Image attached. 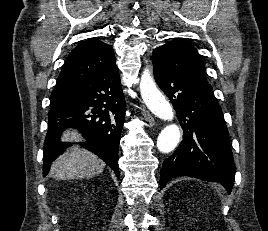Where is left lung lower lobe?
Masks as SVG:
<instances>
[{
	"label": "left lung lower lobe",
	"mask_w": 268,
	"mask_h": 231,
	"mask_svg": "<svg viewBox=\"0 0 268 231\" xmlns=\"http://www.w3.org/2000/svg\"><path fill=\"white\" fill-rule=\"evenodd\" d=\"M154 78L173 103L183 129L178 149L162 165L160 185L176 176L221 183L230 193L235 167L228 130L212 89L153 61Z\"/></svg>",
	"instance_id": "left-lung-lower-lobe-1"
}]
</instances>
